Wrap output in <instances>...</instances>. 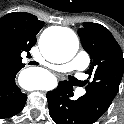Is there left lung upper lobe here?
Wrapping results in <instances>:
<instances>
[{
  "mask_svg": "<svg viewBox=\"0 0 124 124\" xmlns=\"http://www.w3.org/2000/svg\"><path fill=\"white\" fill-rule=\"evenodd\" d=\"M78 34L91 57V66L85 72L91 81L82 98L92 117L98 120L118 93L124 71L123 54L110 31L98 23H84Z\"/></svg>",
  "mask_w": 124,
  "mask_h": 124,
  "instance_id": "obj_1",
  "label": "left lung upper lobe"
}]
</instances>
